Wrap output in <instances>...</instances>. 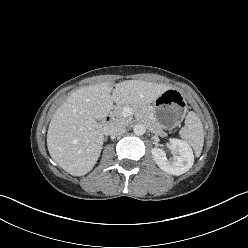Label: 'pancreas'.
Instances as JSON below:
<instances>
[{
  "mask_svg": "<svg viewBox=\"0 0 248 248\" xmlns=\"http://www.w3.org/2000/svg\"><path fill=\"white\" fill-rule=\"evenodd\" d=\"M125 107L131 108L133 112L137 115V117L149 124L152 128L153 133L160 136L166 135L162 128L154 120H152L151 112L148 106L122 105L120 107H117L114 111L117 121L124 124L128 123V119L122 115L123 109Z\"/></svg>",
  "mask_w": 248,
  "mask_h": 248,
  "instance_id": "obj_1",
  "label": "pancreas"
}]
</instances>
